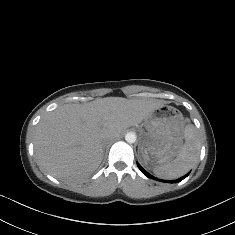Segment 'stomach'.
I'll use <instances>...</instances> for the list:
<instances>
[{
  "instance_id": "1",
  "label": "stomach",
  "mask_w": 235,
  "mask_h": 235,
  "mask_svg": "<svg viewBox=\"0 0 235 235\" xmlns=\"http://www.w3.org/2000/svg\"><path fill=\"white\" fill-rule=\"evenodd\" d=\"M146 132H141L139 156L146 168L152 169L171 161L182 148L185 121L175 107L162 105L144 119Z\"/></svg>"
}]
</instances>
